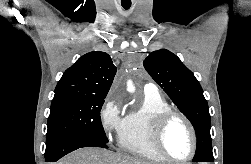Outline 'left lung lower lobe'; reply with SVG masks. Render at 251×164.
<instances>
[{
	"instance_id": "left-lung-lower-lobe-1",
	"label": "left lung lower lobe",
	"mask_w": 251,
	"mask_h": 164,
	"mask_svg": "<svg viewBox=\"0 0 251 164\" xmlns=\"http://www.w3.org/2000/svg\"><path fill=\"white\" fill-rule=\"evenodd\" d=\"M193 162H213V160H193Z\"/></svg>"
}]
</instances>
